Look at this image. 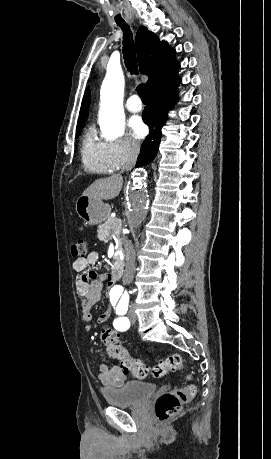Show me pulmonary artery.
<instances>
[{"instance_id":"1","label":"pulmonary artery","mask_w":271,"mask_h":459,"mask_svg":"<svg viewBox=\"0 0 271 459\" xmlns=\"http://www.w3.org/2000/svg\"><path fill=\"white\" fill-rule=\"evenodd\" d=\"M126 108L131 113H139L143 109V104L138 95L131 96L126 102Z\"/></svg>"}]
</instances>
